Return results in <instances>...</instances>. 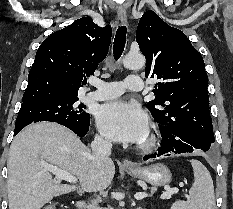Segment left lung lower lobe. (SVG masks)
I'll return each mask as SVG.
<instances>
[{
	"label": "left lung lower lobe",
	"instance_id": "0a47b994",
	"mask_svg": "<svg viewBox=\"0 0 233 209\" xmlns=\"http://www.w3.org/2000/svg\"><path fill=\"white\" fill-rule=\"evenodd\" d=\"M159 128L162 136L161 148H159L158 153L145 156L143 160L156 158V156L166 153L169 154L165 156H169L170 153L193 152L196 149L202 151L212 150V141L200 138L185 129L167 126H160Z\"/></svg>",
	"mask_w": 233,
	"mask_h": 209
}]
</instances>
